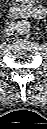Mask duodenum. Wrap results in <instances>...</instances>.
Returning <instances> with one entry per match:
<instances>
[{
	"mask_svg": "<svg viewBox=\"0 0 47 129\" xmlns=\"http://www.w3.org/2000/svg\"><path fill=\"white\" fill-rule=\"evenodd\" d=\"M10 14L14 18H41L45 15V9L36 4L15 5L10 8Z\"/></svg>",
	"mask_w": 47,
	"mask_h": 129,
	"instance_id": "duodenum-1",
	"label": "duodenum"
}]
</instances>
